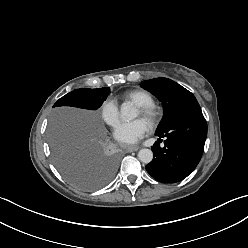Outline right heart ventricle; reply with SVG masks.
<instances>
[{
  "mask_svg": "<svg viewBox=\"0 0 248 248\" xmlns=\"http://www.w3.org/2000/svg\"><path fill=\"white\" fill-rule=\"evenodd\" d=\"M124 98L132 101L137 106L148 105L154 103V98L151 93L143 89H135L127 91Z\"/></svg>",
  "mask_w": 248,
  "mask_h": 248,
  "instance_id": "obj_1",
  "label": "right heart ventricle"
}]
</instances>
